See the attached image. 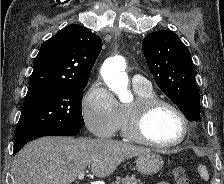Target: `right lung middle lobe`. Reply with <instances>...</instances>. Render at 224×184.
Here are the masks:
<instances>
[{"label": "right lung middle lobe", "mask_w": 224, "mask_h": 184, "mask_svg": "<svg viewBox=\"0 0 224 184\" xmlns=\"http://www.w3.org/2000/svg\"><path fill=\"white\" fill-rule=\"evenodd\" d=\"M86 84L29 86L14 132V142L34 131L82 128L84 120L81 101Z\"/></svg>", "instance_id": "dd1d6c3e"}]
</instances>
